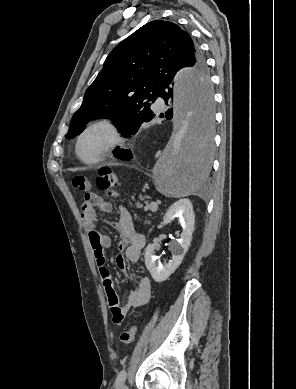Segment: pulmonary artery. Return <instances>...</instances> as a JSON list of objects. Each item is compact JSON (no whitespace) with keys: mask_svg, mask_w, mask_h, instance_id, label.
<instances>
[{"mask_svg":"<svg viewBox=\"0 0 296 389\" xmlns=\"http://www.w3.org/2000/svg\"><path fill=\"white\" fill-rule=\"evenodd\" d=\"M154 107L157 109L163 108L164 106V100L161 97H158L156 101L154 102Z\"/></svg>","mask_w":296,"mask_h":389,"instance_id":"e3ab8cb5","label":"pulmonary artery"}]
</instances>
